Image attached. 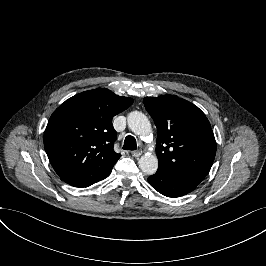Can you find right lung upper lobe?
Returning a JSON list of instances; mask_svg holds the SVG:
<instances>
[{
	"instance_id": "obj_1",
	"label": "right lung upper lobe",
	"mask_w": 266,
	"mask_h": 266,
	"mask_svg": "<svg viewBox=\"0 0 266 266\" xmlns=\"http://www.w3.org/2000/svg\"><path fill=\"white\" fill-rule=\"evenodd\" d=\"M132 103V98L98 88L69 98L54 111L44 132V147L63 181L88 187L111 173L121 156L113 150L117 133L112 118Z\"/></svg>"
}]
</instances>
